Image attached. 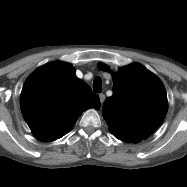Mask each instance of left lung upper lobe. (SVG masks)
<instances>
[{"label": "left lung upper lobe", "instance_id": "1", "mask_svg": "<svg viewBox=\"0 0 187 187\" xmlns=\"http://www.w3.org/2000/svg\"><path fill=\"white\" fill-rule=\"evenodd\" d=\"M99 68L109 70L105 64ZM113 82V95L102 110L110 132L129 143L148 138L163 123L168 109L163 83L138 63L119 69Z\"/></svg>", "mask_w": 187, "mask_h": 187}]
</instances>
